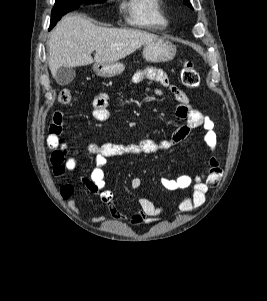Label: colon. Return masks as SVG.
Here are the masks:
<instances>
[{"instance_id":"obj_1","label":"colon","mask_w":267,"mask_h":301,"mask_svg":"<svg viewBox=\"0 0 267 301\" xmlns=\"http://www.w3.org/2000/svg\"><path fill=\"white\" fill-rule=\"evenodd\" d=\"M181 82L186 88H195L199 84V74L193 63L186 62L181 69ZM58 100L62 104H68L72 100V94L69 89H62L59 92Z\"/></svg>"}]
</instances>
